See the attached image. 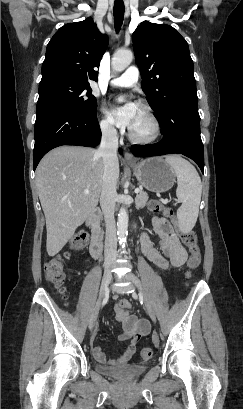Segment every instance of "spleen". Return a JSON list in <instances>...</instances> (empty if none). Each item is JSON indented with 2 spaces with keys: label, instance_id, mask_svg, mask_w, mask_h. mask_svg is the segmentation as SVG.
<instances>
[{
  "label": "spleen",
  "instance_id": "3e777b00",
  "mask_svg": "<svg viewBox=\"0 0 243 409\" xmlns=\"http://www.w3.org/2000/svg\"><path fill=\"white\" fill-rule=\"evenodd\" d=\"M165 161L177 176L176 195L181 202L177 218L180 230L187 233L192 230L198 218L202 194L201 179L195 167L179 155L166 156Z\"/></svg>",
  "mask_w": 243,
  "mask_h": 409
}]
</instances>
